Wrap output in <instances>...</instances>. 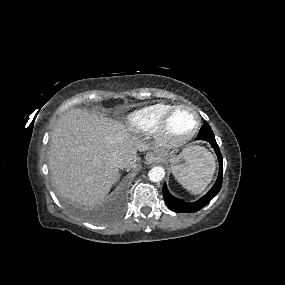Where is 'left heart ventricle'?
Segmentation results:
<instances>
[{
    "label": "left heart ventricle",
    "mask_w": 285,
    "mask_h": 285,
    "mask_svg": "<svg viewBox=\"0 0 285 285\" xmlns=\"http://www.w3.org/2000/svg\"><path fill=\"white\" fill-rule=\"evenodd\" d=\"M195 125V116L188 111H179L172 117L169 125L170 132L175 136H183L190 132Z\"/></svg>",
    "instance_id": "obj_1"
}]
</instances>
